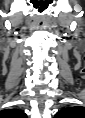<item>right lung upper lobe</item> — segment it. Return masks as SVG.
Instances as JSON below:
<instances>
[{"label":"right lung upper lobe","mask_w":85,"mask_h":118,"mask_svg":"<svg viewBox=\"0 0 85 118\" xmlns=\"http://www.w3.org/2000/svg\"><path fill=\"white\" fill-rule=\"evenodd\" d=\"M10 112H13V113H21V111L17 110V109H10L9 110Z\"/></svg>","instance_id":"right-lung-upper-lobe-1"}]
</instances>
